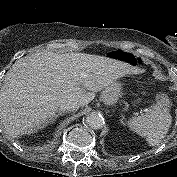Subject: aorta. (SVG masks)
Here are the masks:
<instances>
[{"label":"aorta","instance_id":"aorta-1","mask_svg":"<svg viewBox=\"0 0 177 177\" xmlns=\"http://www.w3.org/2000/svg\"><path fill=\"white\" fill-rule=\"evenodd\" d=\"M86 123L94 130L101 129L104 124V118L101 115L91 113L86 117Z\"/></svg>","mask_w":177,"mask_h":177}]
</instances>
